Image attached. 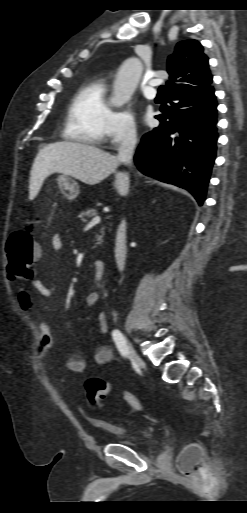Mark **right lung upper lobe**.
<instances>
[{
	"label": "right lung upper lobe",
	"instance_id": "obj_1",
	"mask_svg": "<svg viewBox=\"0 0 247 513\" xmlns=\"http://www.w3.org/2000/svg\"><path fill=\"white\" fill-rule=\"evenodd\" d=\"M170 81L165 94L198 93L211 86L212 75L208 57L197 40H185L177 44L174 54L167 61Z\"/></svg>",
	"mask_w": 247,
	"mask_h": 513
}]
</instances>
